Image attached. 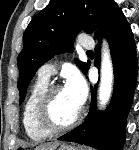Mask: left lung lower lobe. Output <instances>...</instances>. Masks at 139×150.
Here are the masks:
<instances>
[{
  "instance_id": "left-lung-lower-lobe-1",
  "label": "left lung lower lobe",
  "mask_w": 139,
  "mask_h": 150,
  "mask_svg": "<svg viewBox=\"0 0 139 150\" xmlns=\"http://www.w3.org/2000/svg\"><path fill=\"white\" fill-rule=\"evenodd\" d=\"M107 38L114 66V92L109 107L100 113L96 109V87L92 92L90 111L86 120L72 131L58 138L85 144L100 150H122L125 140V123L132 104L137 78L136 46L132 31L123 12L116 5L96 37ZM99 65L100 44L95 48Z\"/></svg>"
}]
</instances>
